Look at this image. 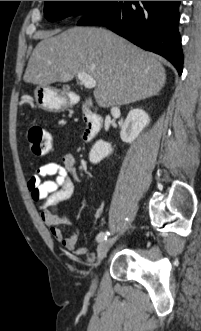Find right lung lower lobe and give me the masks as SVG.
<instances>
[{"instance_id": "obj_1", "label": "right lung lower lobe", "mask_w": 201, "mask_h": 331, "mask_svg": "<svg viewBox=\"0 0 201 331\" xmlns=\"http://www.w3.org/2000/svg\"><path fill=\"white\" fill-rule=\"evenodd\" d=\"M180 1H102L78 26H106L141 48L168 59L181 75L183 54L178 32Z\"/></svg>"}]
</instances>
